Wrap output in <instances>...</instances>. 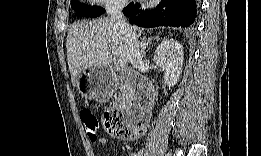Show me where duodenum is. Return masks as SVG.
Returning a JSON list of instances; mask_svg holds the SVG:
<instances>
[{
	"label": "duodenum",
	"mask_w": 261,
	"mask_h": 156,
	"mask_svg": "<svg viewBox=\"0 0 261 156\" xmlns=\"http://www.w3.org/2000/svg\"><path fill=\"white\" fill-rule=\"evenodd\" d=\"M113 74L119 83L130 84L132 81L131 75L127 70L114 69ZM152 98L153 95L149 83L142 79L138 82L136 90L130 93L126 99L120 100L118 104L137 123L146 125L152 109Z\"/></svg>",
	"instance_id": "410a0bca"
}]
</instances>
